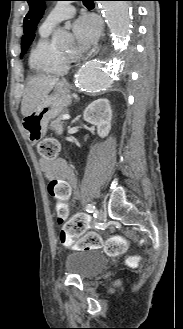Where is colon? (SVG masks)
<instances>
[{
    "label": "colon",
    "instance_id": "obj_1",
    "mask_svg": "<svg viewBox=\"0 0 183 329\" xmlns=\"http://www.w3.org/2000/svg\"><path fill=\"white\" fill-rule=\"evenodd\" d=\"M60 146L56 139L45 138L38 144L39 155L46 160H54L59 156ZM65 218H57V223L60 226L61 240L78 239L76 245L81 249H97L104 247L105 252L109 256H117L126 250L127 243L121 236H113L105 243L102 242L101 237L92 231V224H88V219L79 215L67 223H64ZM139 260L138 257H130L128 262L135 264Z\"/></svg>",
    "mask_w": 183,
    "mask_h": 329
}]
</instances>
